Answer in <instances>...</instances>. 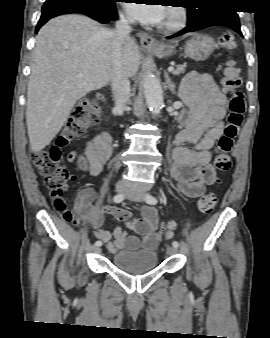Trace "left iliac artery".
Instances as JSON below:
<instances>
[{
    "instance_id": "1",
    "label": "left iliac artery",
    "mask_w": 270,
    "mask_h": 338,
    "mask_svg": "<svg viewBox=\"0 0 270 338\" xmlns=\"http://www.w3.org/2000/svg\"><path fill=\"white\" fill-rule=\"evenodd\" d=\"M145 200L148 204L155 205L157 204L158 200L152 195H146ZM173 247L178 248L179 243L177 241L172 242Z\"/></svg>"
}]
</instances>
